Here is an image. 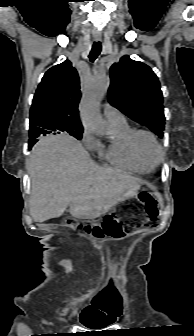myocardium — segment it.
I'll return each mask as SVG.
<instances>
[{
	"label": "myocardium",
	"instance_id": "1",
	"mask_svg": "<svg viewBox=\"0 0 194 336\" xmlns=\"http://www.w3.org/2000/svg\"><path fill=\"white\" fill-rule=\"evenodd\" d=\"M141 136H147L149 137L153 143L155 144L156 146V149H157V153H158V158L153 161V162H150V161H147L141 154L140 152V149H139V138ZM130 147H131V150L134 154V156L136 157V159L150 167V168H155L157 165H159L163 158H164V151H163V148H162V145L158 139V137L156 136L155 133H153L152 131L150 130H147V129H133L131 135H130Z\"/></svg>",
	"mask_w": 194,
	"mask_h": 336
}]
</instances>
